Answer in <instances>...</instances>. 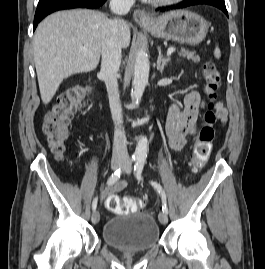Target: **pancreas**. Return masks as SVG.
<instances>
[{
	"mask_svg": "<svg viewBox=\"0 0 265 269\" xmlns=\"http://www.w3.org/2000/svg\"><path fill=\"white\" fill-rule=\"evenodd\" d=\"M178 55L182 57H186L188 60H192L194 62L200 61V57L198 55H194L193 52L187 49H182L180 52H178Z\"/></svg>",
	"mask_w": 265,
	"mask_h": 269,
	"instance_id": "cf45deb5",
	"label": "pancreas"
}]
</instances>
